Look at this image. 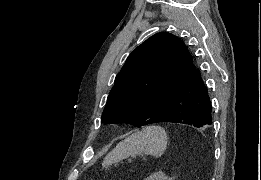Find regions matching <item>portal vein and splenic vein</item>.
<instances>
[{
    "instance_id": "obj_1",
    "label": "portal vein and splenic vein",
    "mask_w": 261,
    "mask_h": 180,
    "mask_svg": "<svg viewBox=\"0 0 261 180\" xmlns=\"http://www.w3.org/2000/svg\"><path fill=\"white\" fill-rule=\"evenodd\" d=\"M141 157H144V154H141Z\"/></svg>"
}]
</instances>
